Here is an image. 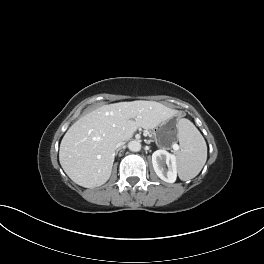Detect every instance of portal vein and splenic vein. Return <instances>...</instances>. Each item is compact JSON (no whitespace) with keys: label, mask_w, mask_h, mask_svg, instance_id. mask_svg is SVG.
<instances>
[{"label":"portal vein and splenic vein","mask_w":264,"mask_h":264,"mask_svg":"<svg viewBox=\"0 0 264 264\" xmlns=\"http://www.w3.org/2000/svg\"><path fill=\"white\" fill-rule=\"evenodd\" d=\"M172 148H173V150H175V151L179 150V146H178L177 144H173Z\"/></svg>","instance_id":"portal-vein-and-splenic-vein-1"}]
</instances>
